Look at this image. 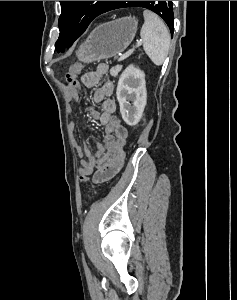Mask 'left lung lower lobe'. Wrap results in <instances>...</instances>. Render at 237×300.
<instances>
[{"label":"left lung lower lobe","instance_id":"left-lung-lower-lobe-1","mask_svg":"<svg viewBox=\"0 0 237 300\" xmlns=\"http://www.w3.org/2000/svg\"><path fill=\"white\" fill-rule=\"evenodd\" d=\"M121 2L122 1H111V3L106 7L105 12L121 8L120 7L121 6ZM167 2L168 1H160V7L163 8L167 4ZM173 30L171 31V33H173Z\"/></svg>","mask_w":237,"mask_h":300}]
</instances>
